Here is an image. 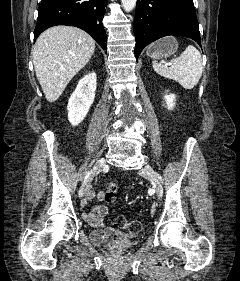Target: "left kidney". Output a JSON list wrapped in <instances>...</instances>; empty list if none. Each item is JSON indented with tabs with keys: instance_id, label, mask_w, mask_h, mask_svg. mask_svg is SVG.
Segmentation results:
<instances>
[{
	"instance_id": "left-kidney-1",
	"label": "left kidney",
	"mask_w": 240,
	"mask_h": 281,
	"mask_svg": "<svg viewBox=\"0 0 240 281\" xmlns=\"http://www.w3.org/2000/svg\"><path fill=\"white\" fill-rule=\"evenodd\" d=\"M168 92V91H167ZM175 95L174 94H166L164 96V99L166 101V104H167V108L169 110H172L173 107L175 106Z\"/></svg>"
}]
</instances>
